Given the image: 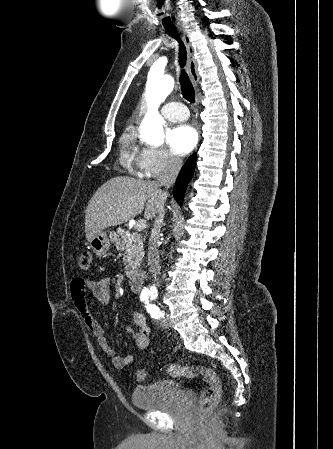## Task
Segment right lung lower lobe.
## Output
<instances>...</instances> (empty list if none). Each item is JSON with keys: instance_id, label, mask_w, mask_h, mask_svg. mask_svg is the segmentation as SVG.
Wrapping results in <instances>:
<instances>
[{"instance_id": "98d812e1", "label": "right lung lower lobe", "mask_w": 333, "mask_h": 449, "mask_svg": "<svg viewBox=\"0 0 333 449\" xmlns=\"http://www.w3.org/2000/svg\"><path fill=\"white\" fill-rule=\"evenodd\" d=\"M196 165V154L191 155L183 165L174 187L173 196L175 200L181 205L185 190L189 181L191 180Z\"/></svg>"}]
</instances>
